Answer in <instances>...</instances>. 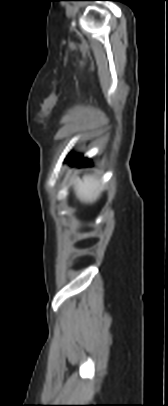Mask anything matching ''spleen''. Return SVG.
Segmentation results:
<instances>
[{"label":"spleen","mask_w":168,"mask_h":406,"mask_svg":"<svg viewBox=\"0 0 168 406\" xmlns=\"http://www.w3.org/2000/svg\"><path fill=\"white\" fill-rule=\"evenodd\" d=\"M100 181L92 175H85L74 181V192L81 202L93 203L101 193Z\"/></svg>","instance_id":"3e777b00"}]
</instances>
